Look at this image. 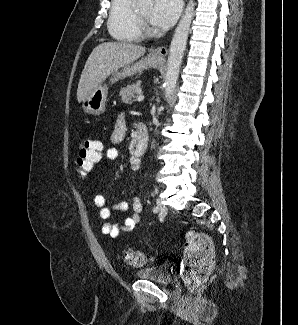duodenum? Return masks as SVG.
I'll return each mask as SVG.
<instances>
[{
    "mask_svg": "<svg viewBox=\"0 0 298 325\" xmlns=\"http://www.w3.org/2000/svg\"><path fill=\"white\" fill-rule=\"evenodd\" d=\"M147 143H148V130L144 124L140 123L137 126L136 131L134 132V135L130 142L129 145L130 152L137 157L143 155L146 150Z\"/></svg>",
    "mask_w": 298,
    "mask_h": 325,
    "instance_id": "duodenum-1",
    "label": "duodenum"
}]
</instances>
